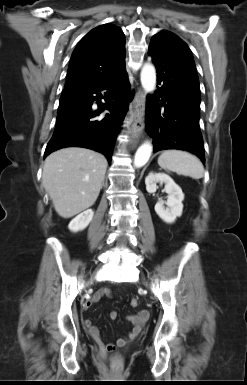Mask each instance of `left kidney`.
Segmentation results:
<instances>
[{
    "label": "left kidney",
    "instance_id": "left-kidney-1",
    "mask_svg": "<svg viewBox=\"0 0 247 385\" xmlns=\"http://www.w3.org/2000/svg\"><path fill=\"white\" fill-rule=\"evenodd\" d=\"M157 183L165 184V192L168 194L167 202L159 199L155 205L157 215L166 223H174L177 217L182 215L184 194L182 189L173 181V179L164 173L150 172L145 178L146 190L148 193H155Z\"/></svg>",
    "mask_w": 247,
    "mask_h": 385
}]
</instances>
